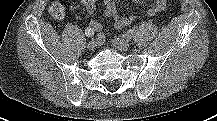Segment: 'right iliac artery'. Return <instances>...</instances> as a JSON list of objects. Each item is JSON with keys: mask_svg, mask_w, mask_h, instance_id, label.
I'll return each instance as SVG.
<instances>
[{"mask_svg": "<svg viewBox=\"0 0 217 121\" xmlns=\"http://www.w3.org/2000/svg\"><path fill=\"white\" fill-rule=\"evenodd\" d=\"M93 40H94V39H93ZM95 40H97L98 42H101V39H100L99 36H97Z\"/></svg>", "mask_w": 217, "mask_h": 121, "instance_id": "obj_1", "label": "right iliac artery"}]
</instances>
